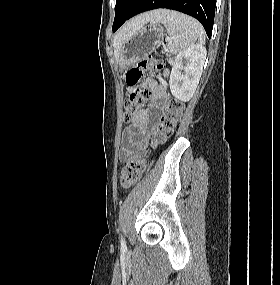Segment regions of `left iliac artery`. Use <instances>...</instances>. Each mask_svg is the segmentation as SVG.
Listing matches in <instances>:
<instances>
[{
	"instance_id": "1",
	"label": "left iliac artery",
	"mask_w": 280,
	"mask_h": 285,
	"mask_svg": "<svg viewBox=\"0 0 280 285\" xmlns=\"http://www.w3.org/2000/svg\"><path fill=\"white\" fill-rule=\"evenodd\" d=\"M121 248H122L123 250H126V249H127L125 240H124L123 238H121Z\"/></svg>"
}]
</instances>
